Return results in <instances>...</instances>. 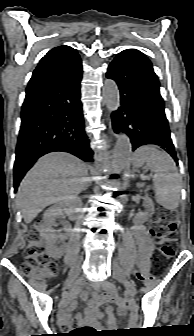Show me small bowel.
<instances>
[{
  "label": "small bowel",
  "instance_id": "1",
  "mask_svg": "<svg viewBox=\"0 0 194 336\" xmlns=\"http://www.w3.org/2000/svg\"><path fill=\"white\" fill-rule=\"evenodd\" d=\"M133 235L136 239L138 245V254L136 257V263L139 270L143 273L147 272L150 268V255L153 249L152 242L148 236L146 228L141 224H136L133 227ZM103 292L101 294H95L89 291H84L80 293L83 299L89 298L90 295L93 299L90 300L88 308L84 311L83 315H78L75 318V322L78 324H83L84 321L88 323H94V313L95 306L105 304L108 302L118 301L119 297L117 295L115 286L111 283H104L102 285ZM76 290L71 294L64 302V309L61 313L60 320L64 325H71L73 323L72 318L69 315V310L75 306V296L78 294ZM106 313L109 316L110 321H115L116 318L113 315V308L108 306L106 308Z\"/></svg>",
  "mask_w": 194,
  "mask_h": 336
}]
</instances>
